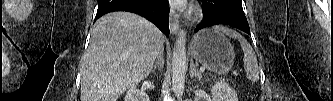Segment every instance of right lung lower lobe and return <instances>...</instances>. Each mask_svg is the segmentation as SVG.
I'll use <instances>...</instances> for the list:
<instances>
[{"label": "right lung lower lobe", "instance_id": "1", "mask_svg": "<svg viewBox=\"0 0 333 101\" xmlns=\"http://www.w3.org/2000/svg\"><path fill=\"white\" fill-rule=\"evenodd\" d=\"M114 11H127L141 15L169 34V6L167 0H98L95 21Z\"/></svg>", "mask_w": 333, "mask_h": 101}]
</instances>
